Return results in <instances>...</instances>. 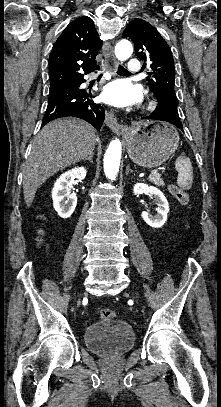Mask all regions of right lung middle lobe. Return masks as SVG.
I'll return each mask as SVG.
<instances>
[{
    "label": "right lung middle lobe",
    "mask_w": 221,
    "mask_h": 407,
    "mask_svg": "<svg viewBox=\"0 0 221 407\" xmlns=\"http://www.w3.org/2000/svg\"><path fill=\"white\" fill-rule=\"evenodd\" d=\"M59 86H61V85H58V86H54V87H53V85L51 84V85H50V89H54V88L59 87Z\"/></svg>",
    "instance_id": "1"
}]
</instances>
